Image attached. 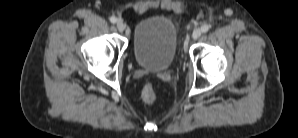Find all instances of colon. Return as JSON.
Listing matches in <instances>:
<instances>
[{
	"label": "colon",
	"instance_id": "colon-1",
	"mask_svg": "<svg viewBox=\"0 0 298 138\" xmlns=\"http://www.w3.org/2000/svg\"><path fill=\"white\" fill-rule=\"evenodd\" d=\"M142 99L145 103L151 104L156 99V91L152 84H146L142 90Z\"/></svg>",
	"mask_w": 298,
	"mask_h": 138
}]
</instances>
